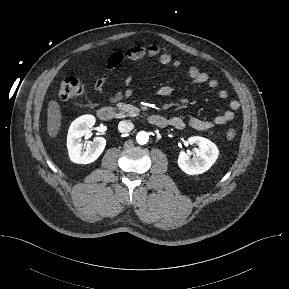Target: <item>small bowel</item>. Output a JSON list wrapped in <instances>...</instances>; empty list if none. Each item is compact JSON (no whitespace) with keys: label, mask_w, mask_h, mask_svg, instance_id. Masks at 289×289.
I'll use <instances>...</instances> for the list:
<instances>
[{"label":"small bowel","mask_w":289,"mask_h":289,"mask_svg":"<svg viewBox=\"0 0 289 289\" xmlns=\"http://www.w3.org/2000/svg\"><path fill=\"white\" fill-rule=\"evenodd\" d=\"M146 58H156L161 65H171L175 68L182 66L181 61L173 59V57L161 50L158 45L150 44L146 46H133L129 47L123 51L112 53L107 60V71L106 73L98 78L95 82V90L98 93L103 92V88L109 79L110 73L118 67L120 64L126 61H138ZM184 72L186 76L191 80L192 84L195 85H207L211 89H217L219 83L216 79L211 78L208 73L201 71L194 65L184 66ZM174 92L173 87L164 85L158 88L157 94L160 97H168ZM131 89H126L124 91H119L112 98L113 101L121 99L123 96H131ZM217 96L220 99H226L228 97V92L224 89L217 90ZM240 108V103L232 99L229 101L228 109L223 113L217 115L212 120L201 119L197 117H190L187 120L174 116L168 119L169 125L176 129H184L189 126L195 130L204 131L213 128L214 126L224 125L232 121L235 117V112Z\"/></svg>","instance_id":"obj_1"}]
</instances>
